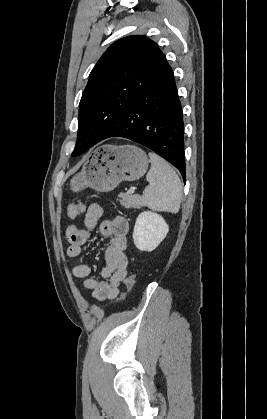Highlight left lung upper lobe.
I'll list each match as a JSON object with an SVG mask.
<instances>
[{"label": "left lung upper lobe", "instance_id": "1", "mask_svg": "<svg viewBox=\"0 0 267 419\" xmlns=\"http://www.w3.org/2000/svg\"><path fill=\"white\" fill-rule=\"evenodd\" d=\"M165 62L158 45L143 35L119 39L107 49L82 94L72 156L90 148L103 122L123 113Z\"/></svg>", "mask_w": 267, "mask_h": 419}]
</instances>
